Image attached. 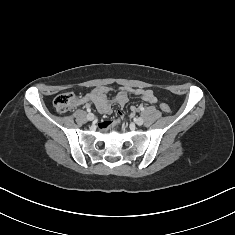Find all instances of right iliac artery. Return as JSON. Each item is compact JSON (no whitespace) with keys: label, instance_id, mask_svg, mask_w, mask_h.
<instances>
[{"label":"right iliac artery","instance_id":"82829eb1","mask_svg":"<svg viewBox=\"0 0 235 235\" xmlns=\"http://www.w3.org/2000/svg\"><path fill=\"white\" fill-rule=\"evenodd\" d=\"M87 112H91V109H90V108H87Z\"/></svg>","mask_w":235,"mask_h":235}]
</instances>
